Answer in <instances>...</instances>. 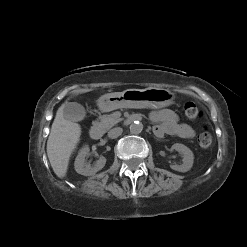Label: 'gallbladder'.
I'll list each match as a JSON object with an SVG mask.
<instances>
[{"instance_id": "1", "label": "gallbladder", "mask_w": 247, "mask_h": 247, "mask_svg": "<svg viewBox=\"0 0 247 247\" xmlns=\"http://www.w3.org/2000/svg\"><path fill=\"white\" fill-rule=\"evenodd\" d=\"M63 115L69 121H81L84 119L86 112L84 107L77 102H68L63 109Z\"/></svg>"}]
</instances>
